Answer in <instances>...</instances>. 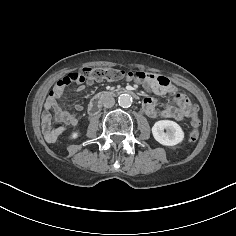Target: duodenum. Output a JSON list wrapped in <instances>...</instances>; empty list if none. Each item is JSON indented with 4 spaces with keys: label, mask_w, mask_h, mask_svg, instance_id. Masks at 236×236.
Segmentation results:
<instances>
[{
    "label": "duodenum",
    "mask_w": 236,
    "mask_h": 236,
    "mask_svg": "<svg viewBox=\"0 0 236 236\" xmlns=\"http://www.w3.org/2000/svg\"><path fill=\"white\" fill-rule=\"evenodd\" d=\"M123 94H131L132 96L136 97V95L133 93V91L126 87H121L113 90H105L99 92L91 101L89 107H88V114L90 116L95 115L103 102L104 99L111 97V96H119Z\"/></svg>",
    "instance_id": "duodenum-1"
}]
</instances>
